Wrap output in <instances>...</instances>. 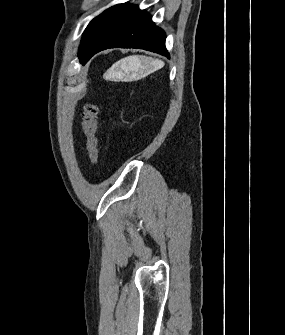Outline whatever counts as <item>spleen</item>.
I'll return each instance as SVG.
<instances>
[{"label":"spleen","mask_w":285,"mask_h":335,"mask_svg":"<svg viewBox=\"0 0 285 335\" xmlns=\"http://www.w3.org/2000/svg\"><path fill=\"white\" fill-rule=\"evenodd\" d=\"M152 64L154 66V70H160V68H163L164 62H161V60H150V58H141V56H133V58H130L128 68L129 70H139V68H143V70H146L148 68L147 64Z\"/></svg>","instance_id":"spleen-1"}]
</instances>
